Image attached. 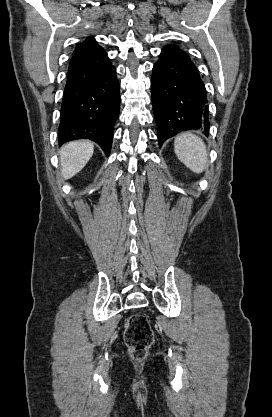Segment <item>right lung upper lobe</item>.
Listing matches in <instances>:
<instances>
[{"label":"right lung upper lobe","mask_w":272,"mask_h":417,"mask_svg":"<svg viewBox=\"0 0 272 417\" xmlns=\"http://www.w3.org/2000/svg\"><path fill=\"white\" fill-rule=\"evenodd\" d=\"M97 43L95 42V40L92 37H89L85 40V42L80 43L76 46L73 55L76 54H80L82 52L87 51L88 49H90L91 47H93L94 45H96Z\"/></svg>","instance_id":"obj_1"}]
</instances>
